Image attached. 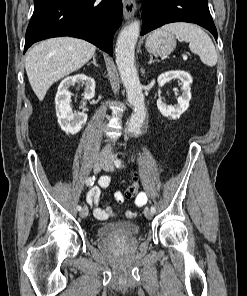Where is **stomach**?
Here are the masks:
<instances>
[{
  "label": "stomach",
  "mask_w": 247,
  "mask_h": 296,
  "mask_svg": "<svg viewBox=\"0 0 247 296\" xmlns=\"http://www.w3.org/2000/svg\"><path fill=\"white\" fill-rule=\"evenodd\" d=\"M145 47L151 54L166 56L174 51L176 39L169 32L158 29L147 37Z\"/></svg>",
  "instance_id": "stomach-1"
}]
</instances>
